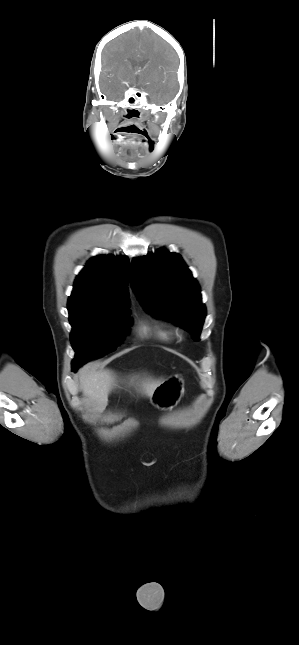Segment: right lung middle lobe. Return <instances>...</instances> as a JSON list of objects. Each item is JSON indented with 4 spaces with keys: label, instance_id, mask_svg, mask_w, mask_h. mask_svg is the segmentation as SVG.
I'll return each mask as SVG.
<instances>
[{
    "label": "right lung middle lobe",
    "instance_id": "1",
    "mask_svg": "<svg viewBox=\"0 0 299 645\" xmlns=\"http://www.w3.org/2000/svg\"><path fill=\"white\" fill-rule=\"evenodd\" d=\"M72 326L71 343L75 351L72 368L92 358L101 357L122 342L132 324L127 308H82L69 307Z\"/></svg>",
    "mask_w": 299,
    "mask_h": 645
}]
</instances>
